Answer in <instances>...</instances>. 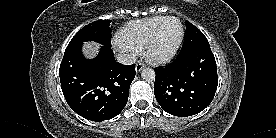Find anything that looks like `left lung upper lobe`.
<instances>
[{
  "label": "left lung upper lobe",
  "instance_id": "1",
  "mask_svg": "<svg viewBox=\"0 0 276 138\" xmlns=\"http://www.w3.org/2000/svg\"><path fill=\"white\" fill-rule=\"evenodd\" d=\"M186 29H187V33L185 36L184 43L182 45V49L179 54H183L197 45L209 44L205 35L192 23L187 21Z\"/></svg>",
  "mask_w": 276,
  "mask_h": 138
}]
</instances>
